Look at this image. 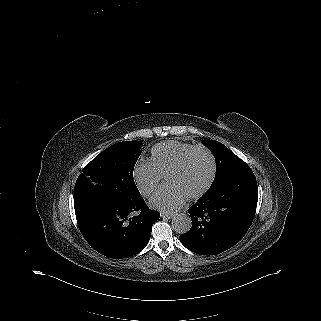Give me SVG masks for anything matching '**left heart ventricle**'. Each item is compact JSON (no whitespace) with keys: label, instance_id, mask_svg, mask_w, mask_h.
Listing matches in <instances>:
<instances>
[{"label":"left heart ventricle","instance_id":"obj_1","mask_svg":"<svg viewBox=\"0 0 321 321\" xmlns=\"http://www.w3.org/2000/svg\"><path fill=\"white\" fill-rule=\"evenodd\" d=\"M211 162L204 153H198L191 161L190 167L177 179L178 186L185 190H193L201 186L209 177Z\"/></svg>","mask_w":321,"mask_h":321}]
</instances>
